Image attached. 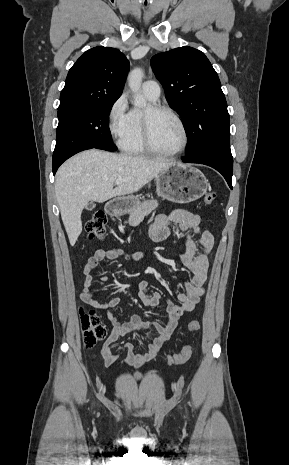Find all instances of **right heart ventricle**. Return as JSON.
<instances>
[{"label":"right heart ventricle","mask_w":289,"mask_h":465,"mask_svg":"<svg viewBox=\"0 0 289 465\" xmlns=\"http://www.w3.org/2000/svg\"><path fill=\"white\" fill-rule=\"evenodd\" d=\"M147 98L151 100L149 97ZM142 114L143 112L138 108H134L130 111L129 129L120 143L121 149L127 154L142 156L149 153L143 143Z\"/></svg>","instance_id":"e07e8e85"}]
</instances>
